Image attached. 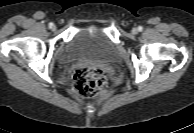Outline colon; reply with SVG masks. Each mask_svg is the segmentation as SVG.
I'll return each instance as SVG.
<instances>
[{
	"instance_id": "1",
	"label": "colon",
	"mask_w": 194,
	"mask_h": 133,
	"mask_svg": "<svg viewBox=\"0 0 194 133\" xmlns=\"http://www.w3.org/2000/svg\"><path fill=\"white\" fill-rule=\"evenodd\" d=\"M73 89L83 97H93L105 92L106 75L103 70L82 66L74 70Z\"/></svg>"
}]
</instances>
